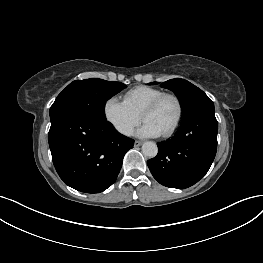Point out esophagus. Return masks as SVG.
Here are the masks:
<instances>
[{
	"instance_id": "obj_1",
	"label": "esophagus",
	"mask_w": 263,
	"mask_h": 263,
	"mask_svg": "<svg viewBox=\"0 0 263 263\" xmlns=\"http://www.w3.org/2000/svg\"><path fill=\"white\" fill-rule=\"evenodd\" d=\"M141 144H142V141L136 140V141L134 142V147H138V146H140Z\"/></svg>"
}]
</instances>
